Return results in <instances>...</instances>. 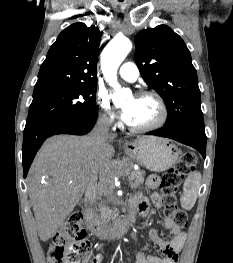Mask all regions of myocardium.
Here are the masks:
<instances>
[{
    "mask_svg": "<svg viewBox=\"0 0 233 263\" xmlns=\"http://www.w3.org/2000/svg\"><path fill=\"white\" fill-rule=\"evenodd\" d=\"M137 98H146L150 97L154 99L159 107L160 114L159 117L151 124L145 125V126H132L128 125L129 129L133 132H139V133H144V132H150L154 131L160 127H162L167 119H168V108L167 105L164 101V99L155 91H150V90H145L141 91L136 95Z\"/></svg>",
    "mask_w": 233,
    "mask_h": 263,
    "instance_id": "f54148a6",
    "label": "myocardium"
}]
</instances>
